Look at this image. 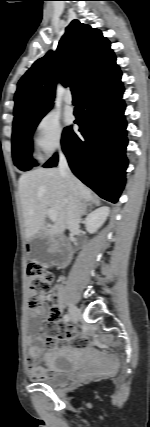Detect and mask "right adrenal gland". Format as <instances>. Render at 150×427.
<instances>
[{
  "mask_svg": "<svg viewBox=\"0 0 150 427\" xmlns=\"http://www.w3.org/2000/svg\"><path fill=\"white\" fill-rule=\"evenodd\" d=\"M93 205L95 206H100V202L98 200H92L90 202H85L84 203V207H83V212H82V216L87 214V209L90 207H92Z\"/></svg>",
  "mask_w": 150,
  "mask_h": 427,
  "instance_id": "obj_1",
  "label": "right adrenal gland"
}]
</instances>
